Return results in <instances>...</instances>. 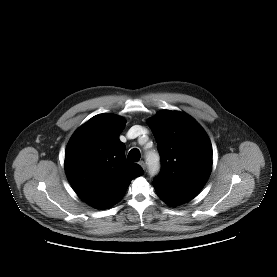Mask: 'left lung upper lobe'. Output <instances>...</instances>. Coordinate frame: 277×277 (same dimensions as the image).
<instances>
[{
	"label": "left lung upper lobe",
	"instance_id": "5c2ea615",
	"mask_svg": "<svg viewBox=\"0 0 277 277\" xmlns=\"http://www.w3.org/2000/svg\"><path fill=\"white\" fill-rule=\"evenodd\" d=\"M162 170L153 185L195 197L212 168V146L202 127L189 115L163 110L149 120Z\"/></svg>",
	"mask_w": 277,
	"mask_h": 277
}]
</instances>
